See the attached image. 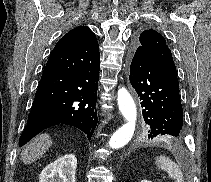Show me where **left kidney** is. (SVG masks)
Wrapping results in <instances>:
<instances>
[{
  "label": "left kidney",
  "instance_id": "obj_1",
  "mask_svg": "<svg viewBox=\"0 0 211 182\" xmlns=\"http://www.w3.org/2000/svg\"><path fill=\"white\" fill-rule=\"evenodd\" d=\"M141 182H151V181H149V180H142Z\"/></svg>",
  "mask_w": 211,
  "mask_h": 182
}]
</instances>
